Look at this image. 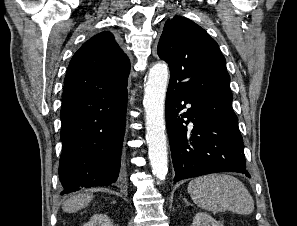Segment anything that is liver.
<instances>
[{
    "label": "liver",
    "mask_w": 297,
    "mask_h": 226,
    "mask_svg": "<svg viewBox=\"0 0 297 226\" xmlns=\"http://www.w3.org/2000/svg\"><path fill=\"white\" fill-rule=\"evenodd\" d=\"M93 195L89 193H81L75 196H72L62 206L64 212L73 213L80 209H83L89 205L92 201Z\"/></svg>",
    "instance_id": "1"
}]
</instances>
